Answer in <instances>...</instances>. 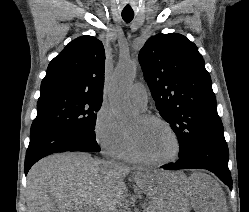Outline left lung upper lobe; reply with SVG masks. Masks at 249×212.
I'll return each instance as SVG.
<instances>
[{
  "label": "left lung upper lobe",
  "mask_w": 249,
  "mask_h": 212,
  "mask_svg": "<svg viewBox=\"0 0 249 212\" xmlns=\"http://www.w3.org/2000/svg\"><path fill=\"white\" fill-rule=\"evenodd\" d=\"M139 62L157 110L177 135L179 156L198 139L223 134L212 81L194 43L178 33L155 35Z\"/></svg>",
  "instance_id": "1"
}]
</instances>
